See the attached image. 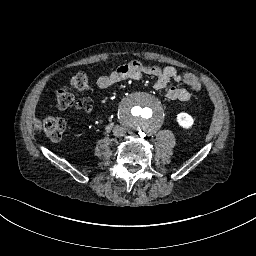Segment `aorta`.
<instances>
[{
	"mask_svg": "<svg viewBox=\"0 0 256 256\" xmlns=\"http://www.w3.org/2000/svg\"><path fill=\"white\" fill-rule=\"evenodd\" d=\"M118 115L124 125L141 134L156 132L165 120L161 103L141 92L124 96L118 106Z\"/></svg>",
	"mask_w": 256,
	"mask_h": 256,
	"instance_id": "obj_1",
	"label": "aorta"
}]
</instances>
